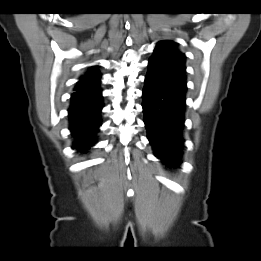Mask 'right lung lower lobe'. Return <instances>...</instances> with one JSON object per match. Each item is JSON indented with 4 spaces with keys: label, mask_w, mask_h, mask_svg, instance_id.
Segmentation results:
<instances>
[{
    "label": "right lung lower lobe",
    "mask_w": 261,
    "mask_h": 261,
    "mask_svg": "<svg viewBox=\"0 0 261 261\" xmlns=\"http://www.w3.org/2000/svg\"><path fill=\"white\" fill-rule=\"evenodd\" d=\"M102 106V90L99 85L75 90L71 95L69 129L74 137L72 148L80 153H87L96 143Z\"/></svg>",
    "instance_id": "98d812e1"
}]
</instances>
